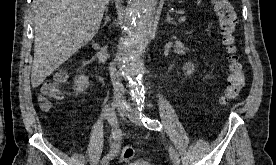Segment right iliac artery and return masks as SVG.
Here are the masks:
<instances>
[{
	"label": "right iliac artery",
	"instance_id": "right-iliac-artery-1",
	"mask_svg": "<svg viewBox=\"0 0 276 165\" xmlns=\"http://www.w3.org/2000/svg\"><path fill=\"white\" fill-rule=\"evenodd\" d=\"M106 119L108 120V123L111 125L112 127V138L114 140V143L112 145V149L110 150V152L102 159V161L104 160H110L113 159V157H115L118 153V148H119V141L121 138V130L119 129V125H118V121L116 116H114L111 112L109 108H105V113H104Z\"/></svg>",
	"mask_w": 276,
	"mask_h": 165
}]
</instances>
